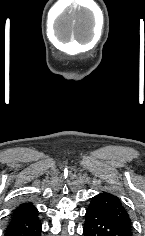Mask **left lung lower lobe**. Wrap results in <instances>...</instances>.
Returning a JSON list of instances; mask_svg holds the SVG:
<instances>
[{"label":"left lung lower lobe","mask_w":145,"mask_h":236,"mask_svg":"<svg viewBox=\"0 0 145 236\" xmlns=\"http://www.w3.org/2000/svg\"><path fill=\"white\" fill-rule=\"evenodd\" d=\"M84 236H132V233L114 219L98 211L87 209Z\"/></svg>","instance_id":"left-lung-lower-lobe-1"}]
</instances>
